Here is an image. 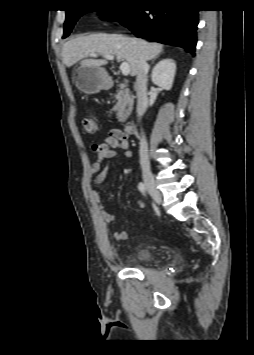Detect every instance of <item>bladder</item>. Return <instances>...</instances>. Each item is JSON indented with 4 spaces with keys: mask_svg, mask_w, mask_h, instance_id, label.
<instances>
[{
    "mask_svg": "<svg viewBox=\"0 0 254 355\" xmlns=\"http://www.w3.org/2000/svg\"><path fill=\"white\" fill-rule=\"evenodd\" d=\"M155 257L153 250L147 246V245H142L138 247L135 258L138 262L145 263L153 260Z\"/></svg>",
    "mask_w": 254,
    "mask_h": 355,
    "instance_id": "1",
    "label": "bladder"
}]
</instances>
